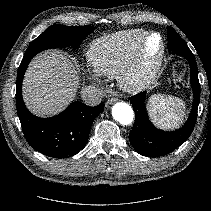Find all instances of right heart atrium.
Segmentation results:
<instances>
[{
  "mask_svg": "<svg viewBox=\"0 0 211 211\" xmlns=\"http://www.w3.org/2000/svg\"><path fill=\"white\" fill-rule=\"evenodd\" d=\"M88 76L95 82H100L99 75L95 71H88Z\"/></svg>",
  "mask_w": 211,
  "mask_h": 211,
  "instance_id": "obj_1",
  "label": "right heart atrium"
}]
</instances>
